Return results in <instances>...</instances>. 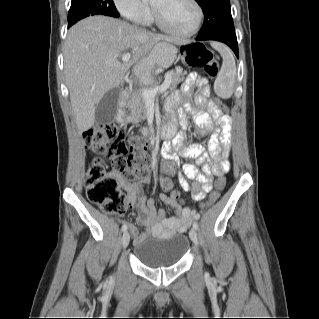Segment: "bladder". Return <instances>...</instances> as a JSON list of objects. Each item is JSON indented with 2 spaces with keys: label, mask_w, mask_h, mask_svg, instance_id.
<instances>
[{
  "label": "bladder",
  "mask_w": 319,
  "mask_h": 319,
  "mask_svg": "<svg viewBox=\"0 0 319 319\" xmlns=\"http://www.w3.org/2000/svg\"><path fill=\"white\" fill-rule=\"evenodd\" d=\"M190 248V239L184 234L146 236L135 244L134 256L147 267H165L183 260Z\"/></svg>",
  "instance_id": "bladder-1"
}]
</instances>
